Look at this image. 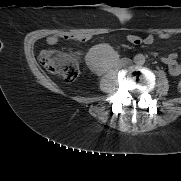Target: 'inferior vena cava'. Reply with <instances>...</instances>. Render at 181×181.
Instances as JSON below:
<instances>
[{"mask_svg":"<svg viewBox=\"0 0 181 181\" xmlns=\"http://www.w3.org/2000/svg\"><path fill=\"white\" fill-rule=\"evenodd\" d=\"M130 59H128V58H123L122 60H121V62H122V64L123 65H126V64H128V63H130Z\"/></svg>","mask_w":181,"mask_h":181,"instance_id":"602c4592","label":"inferior vena cava"}]
</instances>
